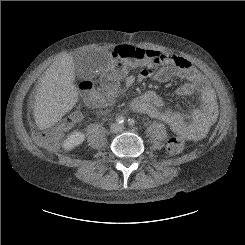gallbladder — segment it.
<instances>
[{"label": "gallbladder", "instance_id": "gallbladder-1", "mask_svg": "<svg viewBox=\"0 0 245 245\" xmlns=\"http://www.w3.org/2000/svg\"><path fill=\"white\" fill-rule=\"evenodd\" d=\"M75 69L78 70V67L76 66Z\"/></svg>", "mask_w": 245, "mask_h": 245}]
</instances>
